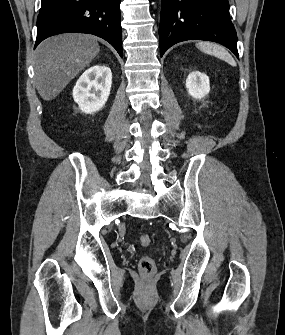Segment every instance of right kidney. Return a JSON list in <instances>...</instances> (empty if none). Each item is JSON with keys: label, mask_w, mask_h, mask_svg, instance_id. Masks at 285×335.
Segmentation results:
<instances>
[{"label": "right kidney", "mask_w": 285, "mask_h": 335, "mask_svg": "<svg viewBox=\"0 0 285 335\" xmlns=\"http://www.w3.org/2000/svg\"><path fill=\"white\" fill-rule=\"evenodd\" d=\"M112 84V72L107 66L88 68L73 88L74 102L84 114H93L105 106Z\"/></svg>", "instance_id": "obj_1"}]
</instances>
